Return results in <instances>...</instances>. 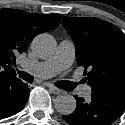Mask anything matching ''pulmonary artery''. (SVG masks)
Here are the masks:
<instances>
[{"mask_svg":"<svg viewBox=\"0 0 125 125\" xmlns=\"http://www.w3.org/2000/svg\"><path fill=\"white\" fill-rule=\"evenodd\" d=\"M75 58V45L71 40H62L54 55L39 61L30 62L23 60L27 67L39 78L51 77L65 69H68ZM91 93L89 86H84L81 90L83 96H88Z\"/></svg>","mask_w":125,"mask_h":125,"instance_id":"e3ab8cb5","label":"pulmonary artery"}]
</instances>
